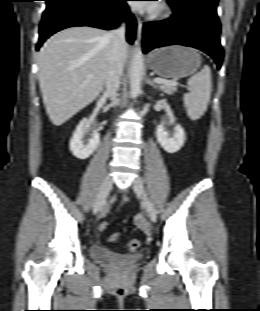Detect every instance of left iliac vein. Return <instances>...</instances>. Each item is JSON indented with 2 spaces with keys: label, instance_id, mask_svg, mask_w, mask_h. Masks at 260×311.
Wrapping results in <instances>:
<instances>
[{
  "label": "left iliac vein",
  "instance_id": "4c4485c4",
  "mask_svg": "<svg viewBox=\"0 0 260 311\" xmlns=\"http://www.w3.org/2000/svg\"><path fill=\"white\" fill-rule=\"evenodd\" d=\"M132 187L135 191V193L139 196H141L144 199L145 203V209L147 212V215L149 216L150 220L152 222H155L157 219V211L153 205V203L147 198L143 181L139 176H136L132 182Z\"/></svg>",
  "mask_w": 260,
  "mask_h": 311
}]
</instances>
